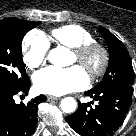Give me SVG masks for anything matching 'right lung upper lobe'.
<instances>
[{"label": "right lung upper lobe", "instance_id": "cb5924a9", "mask_svg": "<svg viewBox=\"0 0 136 136\" xmlns=\"http://www.w3.org/2000/svg\"><path fill=\"white\" fill-rule=\"evenodd\" d=\"M13 19H15V18H7V19H4V20H2V21H0V22H8V21H11V20H13Z\"/></svg>", "mask_w": 136, "mask_h": 136}]
</instances>
